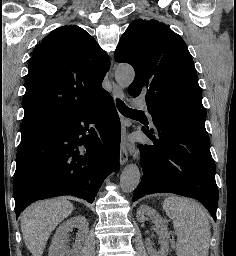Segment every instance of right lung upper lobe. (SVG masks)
<instances>
[{
	"label": "right lung upper lobe",
	"mask_w": 236,
	"mask_h": 256,
	"mask_svg": "<svg viewBox=\"0 0 236 256\" xmlns=\"http://www.w3.org/2000/svg\"><path fill=\"white\" fill-rule=\"evenodd\" d=\"M109 57L82 28L63 26L34 49L23 98L25 120L64 119L109 93L102 81Z\"/></svg>",
	"instance_id": "1"
}]
</instances>
